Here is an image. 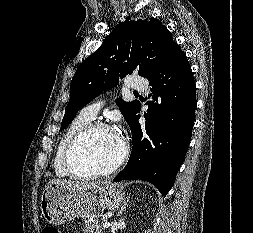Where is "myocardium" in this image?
I'll use <instances>...</instances> for the list:
<instances>
[{"label": "myocardium", "mask_w": 253, "mask_h": 233, "mask_svg": "<svg viewBox=\"0 0 253 233\" xmlns=\"http://www.w3.org/2000/svg\"><path fill=\"white\" fill-rule=\"evenodd\" d=\"M104 129H111V127L103 122H91L79 133H77L74 136V138L70 141L64 155V166L72 177L79 179H86V178L108 176L114 173L124 164L128 156L129 146L127 141L124 138H121L122 139L121 153L117 158V160L111 166L103 170H93L89 172H82L76 169L73 162V157L78 147L93 133Z\"/></svg>", "instance_id": "myocardium-1"}]
</instances>
